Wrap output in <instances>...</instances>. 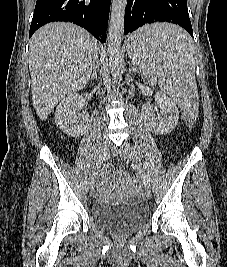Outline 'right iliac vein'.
Here are the masks:
<instances>
[{"label": "right iliac vein", "mask_w": 227, "mask_h": 267, "mask_svg": "<svg viewBox=\"0 0 227 267\" xmlns=\"http://www.w3.org/2000/svg\"><path fill=\"white\" fill-rule=\"evenodd\" d=\"M109 150V143L107 140L103 139L100 143L99 150H98V156H97V163L96 168L100 169L103 162L106 159L107 153ZM98 182V174L92 175L90 186L91 189H93Z\"/></svg>", "instance_id": "63e3f726"}]
</instances>
